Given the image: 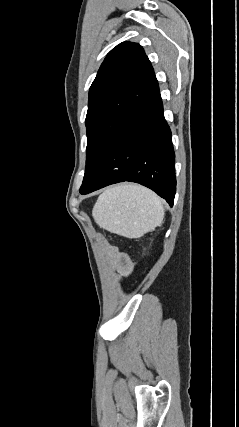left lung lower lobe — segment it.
Masks as SVG:
<instances>
[{"instance_id":"0a47b994","label":"left lung lower lobe","mask_w":239,"mask_h":427,"mask_svg":"<svg viewBox=\"0 0 239 427\" xmlns=\"http://www.w3.org/2000/svg\"><path fill=\"white\" fill-rule=\"evenodd\" d=\"M174 163L171 131L158 91L114 135L80 193L85 195L110 184L130 181L152 189L173 206Z\"/></svg>"}]
</instances>
